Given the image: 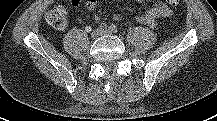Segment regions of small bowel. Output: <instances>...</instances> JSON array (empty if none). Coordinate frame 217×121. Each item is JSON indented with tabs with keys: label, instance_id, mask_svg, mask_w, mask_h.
I'll list each match as a JSON object with an SVG mask.
<instances>
[{
	"label": "small bowel",
	"instance_id": "c3829d8e",
	"mask_svg": "<svg viewBox=\"0 0 217 121\" xmlns=\"http://www.w3.org/2000/svg\"><path fill=\"white\" fill-rule=\"evenodd\" d=\"M137 2H142L144 0H135ZM79 0H72L73 5H77ZM97 6V0H87L86 8L93 13L94 22H99V17L94 13ZM172 14V10L164 4L162 0H156L154 7L149 9L146 13L137 16V21L147 25V26H155L156 22L159 18H167ZM116 19H120L119 15L115 16Z\"/></svg>",
	"mask_w": 217,
	"mask_h": 121
}]
</instances>
